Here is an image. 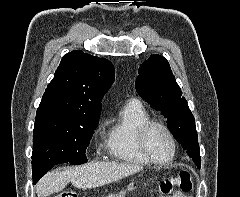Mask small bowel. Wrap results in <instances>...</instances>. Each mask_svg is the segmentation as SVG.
<instances>
[{
  "label": "small bowel",
  "instance_id": "c3829d8e",
  "mask_svg": "<svg viewBox=\"0 0 240 197\" xmlns=\"http://www.w3.org/2000/svg\"><path fill=\"white\" fill-rule=\"evenodd\" d=\"M171 197H191V196L184 195V194L177 192V193H174Z\"/></svg>",
  "mask_w": 240,
  "mask_h": 197
}]
</instances>
